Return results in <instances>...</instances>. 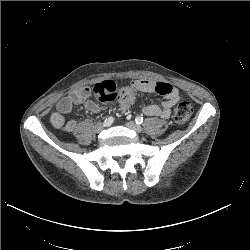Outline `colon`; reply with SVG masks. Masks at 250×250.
<instances>
[{
    "instance_id": "colon-1",
    "label": "colon",
    "mask_w": 250,
    "mask_h": 250,
    "mask_svg": "<svg viewBox=\"0 0 250 250\" xmlns=\"http://www.w3.org/2000/svg\"><path fill=\"white\" fill-rule=\"evenodd\" d=\"M92 91L95 98L100 102H118L122 111H126L135 100V91L133 89H119L111 80L95 84ZM192 112V107L187 101H180L175 108L173 119L176 124L184 125L189 121Z\"/></svg>"
}]
</instances>
